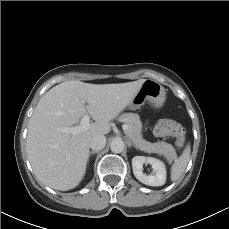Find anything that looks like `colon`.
I'll list each match as a JSON object with an SVG mask.
<instances>
[{
	"label": "colon",
	"mask_w": 229,
	"mask_h": 229,
	"mask_svg": "<svg viewBox=\"0 0 229 229\" xmlns=\"http://www.w3.org/2000/svg\"><path fill=\"white\" fill-rule=\"evenodd\" d=\"M157 135L174 137L178 147L185 145V129L172 119H161L155 126Z\"/></svg>",
	"instance_id": "obj_1"
}]
</instances>
